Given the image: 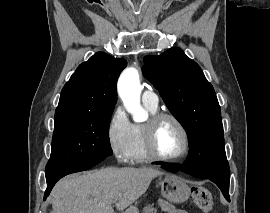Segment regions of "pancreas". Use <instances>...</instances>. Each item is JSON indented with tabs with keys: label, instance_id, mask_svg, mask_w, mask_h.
<instances>
[{
	"label": "pancreas",
	"instance_id": "pancreas-1",
	"mask_svg": "<svg viewBox=\"0 0 270 213\" xmlns=\"http://www.w3.org/2000/svg\"><path fill=\"white\" fill-rule=\"evenodd\" d=\"M142 213H157V209L153 205H148L142 210Z\"/></svg>",
	"mask_w": 270,
	"mask_h": 213
}]
</instances>
